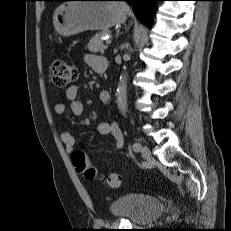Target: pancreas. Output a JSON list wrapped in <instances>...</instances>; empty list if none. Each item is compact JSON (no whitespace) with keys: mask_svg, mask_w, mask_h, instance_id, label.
Here are the masks:
<instances>
[{"mask_svg":"<svg viewBox=\"0 0 231 231\" xmlns=\"http://www.w3.org/2000/svg\"><path fill=\"white\" fill-rule=\"evenodd\" d=\"M108 31H103L100 33H97L94 37H92L87 45V48L92 53H104V50L107 48V45L103 43V40L101 39L103 36L108 34Z\"/></svg>","mask_w":231,"mask_h":231,"instance_id":"pancreas-1","label":"pancreas"}]
</instances>
